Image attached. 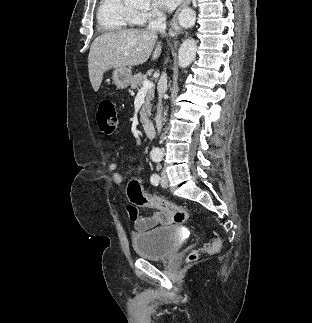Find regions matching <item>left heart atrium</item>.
Segmentation results:
<instances>
[{"mask_svg": "<svg viewBox=\"0 0 312 323\" xmlns=\"http://www.w3.org/2000/svg\"><path fill=\"white\" fill-rule=\"evenodd\" d=\"M184 0H156V7L162 8V12H176Z\"/></svg>", "mask_w": 312, "mask_h": 323, "instance_id": "39dd6f15", "label": "left heart atrium"}]
</instances>
